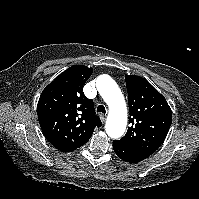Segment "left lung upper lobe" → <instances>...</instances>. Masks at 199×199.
<instances>
[{
    "label": "left lung upper lobe",
    "mask_w": 199,
    "mask_h": 199,
    "mask_svg": "<svg viewBox=\"0 0 199 199\" xmlns=\"http://www.w3.org/2000/svg\"><path fill=\"white\" fill-rule=\"evenodd\" d=\"M125 80L131 126L118 142L148 157L160 147L169 131L171 108L146 79L126 75Z\"/></svg>",
    "instance_id": "5c2ea615"
}]
</instances>
